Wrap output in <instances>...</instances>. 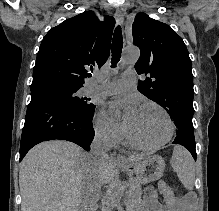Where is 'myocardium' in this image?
I'll use <instances>...</instances> for the list:
<instances>
[{
    "label": "myocardium",
    "instance_id": "f54148a6",
    "mask_svg": "<svg viewBox=\"0 0 219 211\" xmlns=\"http://www.w3.org/2000/svg\"><path fill=\"white\" fill-rule=\"evenodd\" d=\"M146 106L156 107L159 110H161L163 112V114L165 115V117L167 119V122H168V132H167V135L165 136V138L162 141H160L158 143H155V144H143V143H140V142L136 141L129 134L126 127L124 128V135H125V138L128 141V143L133 147H136V148H139V149H146V150L158 149V148L166 145L172 139V137L174 135V131H175V125H174V122H173V119H172L170 113L161 104H159L157 102H154V101H145V102L140 104L139 108H143V107H146Z\"/></svg>",
    "mask_w": 219,
    "mask_h": 211
}]
</instances>
